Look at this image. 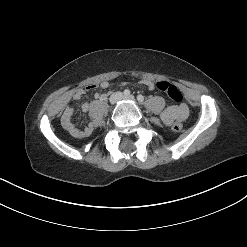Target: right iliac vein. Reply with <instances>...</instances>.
<instances>
[{"label":"right iliac vein","instance_id":"63e3f726","mask_svg":"<svg viewBox=\"0 0 247 247\" xmlns=\"http://www.w3.org/2000/svg\"><path fill=\"white\" fill-rule=\"evenodd\" d=\"M122 97H123L122 93L116 92V93H114V94L111 95V97H110V103L111 104H116L117 101L121 100Z\"/></svg>","mask_w":247,"mask_h":247}]
</instances>
